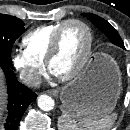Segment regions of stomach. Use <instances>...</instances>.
Instances as JSON below:
<instances>
[{
	"label": "stomach",
	"mask_w": 130,
	"mask_h": 130,
	"mask_svg": "<svg viewBox=\"0 0 130 130\" xmlns=\"http://www.w3.org/2000/svg\"><path fill=\"white\" fill-rule=\"evenodd\" d=\"M121 84L117 62L108 55L98 53L81 75L61 90V110L79 121L100 119L114 110Z\"/></svg>",
	"instance_id": "0dacf381"
}]
</instances>
